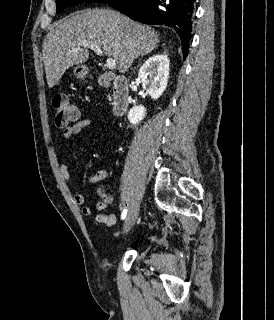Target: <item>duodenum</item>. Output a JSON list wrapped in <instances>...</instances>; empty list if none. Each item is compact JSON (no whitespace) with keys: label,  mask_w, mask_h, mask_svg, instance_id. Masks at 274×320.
<instances>
[{"label":"duodenum","mask_w":274,"mask_h":320,"mask_svg":"<svg viewBox=\"0 0 274 320\" xmlns=\"http://www.w3.org/2000/svg\"><path fill=\"white\" fill-rule=\"evenodd\" d=\"M100 84L112 88V111L115 115H122L128 109L130 102L129 81L125 77L110 79L107 76L99 77Z\"/></svg>","instance_id":"1"}]
</instances>
